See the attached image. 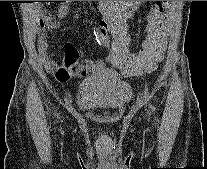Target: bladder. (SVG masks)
<instances>
[{
	"instance_id": "obj_1",
	"label": "bladder",
	"mask_w": 207,
	"mask_h": 169,
	"mask_svg": "<svg viewBox=\"0 0 207 169\" xmlns=\"http://www.w3.org/2000/svg\"><path fill=\"white\" fill-rule=\"evenodd\" d=\"M132 98V89L120 76L110 70L81 81L77 106L83 111L120 112Z\"/></svg>"
}]
</instances>
